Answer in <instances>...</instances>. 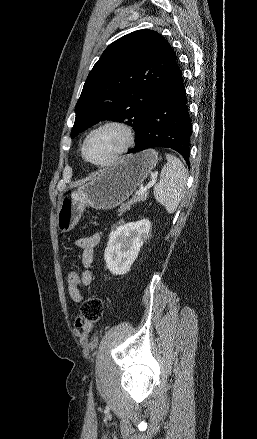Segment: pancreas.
<instances>
[{"label": "pancreas", "mask_w": 257, "mask_h": 439, "mask_svg": "<svg viewBox=\"0 0 257 439\" xmlns=\"http://www.w3.org/2000/svg\"><path fill=\"white\" fill-rule=\"evenodd\" d=\"M147 197H148V193H146V192L142 195L135 194L129 201H127L126 203H124L120 206L119 214L122 215L127 210H130L132 204L137 203V202H141V201H145L147 199Z\"/></svg>", "instance_id": "pancreas-1"}]
</instances>
